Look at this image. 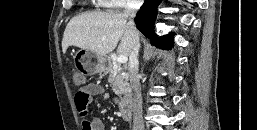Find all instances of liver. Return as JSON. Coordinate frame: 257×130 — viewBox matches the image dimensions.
Instances as JSON below:
<instances>
[{"instance_id": "1", "label": "liver", "mask_w": 257, "mask_h": 130, "mask_svg": "<svg viewBox=\"0 0 257 130\" xmlns=\"http://www.w3.org/2000/svg\"><path fill=\"white\" fill-rule=\"evenodd\" d=\"M119 55L128 57L132 51V36L123 14L89 12L73 17L67 24L62 40V51L69 46L90 50L105 56L118 42Z\"/></svg>"}]
</instances>
